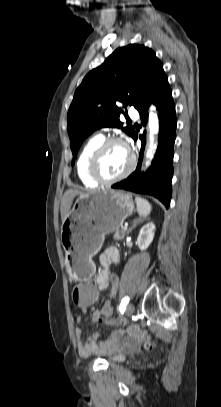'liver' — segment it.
<instances>
[{"mask_svg":"<svg viewBox=\"0 0 221 407\" xmlns=\"http://www.w3.org/2000/svg\"><path fill=\"white\" fill-rule=\"evenodd\" d=\"M85 194H90V193H82L80 191L77 190H73V189H69L67 190L62 198L61 201V207H60V212H61V219H62V223L67 219V217L69 216L70 213V208L73 202V199L77 196V195H85Z\"/></svg>","mask_w":221,"mask_h":407,"instance_id":"1","label":"liver"}]
</instances>
